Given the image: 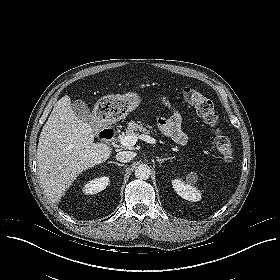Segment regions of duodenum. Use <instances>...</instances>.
I'll return each mask as SVG.
<instances>
[{
	"label": "duodenum",
	"instance_id": "410a0bca",
	"mask_svg": "<svg viewBox=\"0 0 280 280\" xmlns=\"http://www.w3.org/2000/svg\"><path fill=\"white\" fill-rule=\"evenodd\" d=\"M116 136L115 131L112 128L107 129V137L110 139H114Z\"/></svg>",
	"mask_w": 280,
	"mask_h": 280
}]
</instances>
